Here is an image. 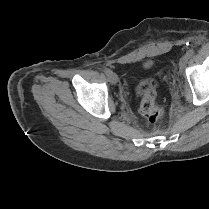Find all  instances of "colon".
<instances>
[{"label": "colon", "mask_w": 209, "mask_h": 209, "mask_svg": "<svg viewBox=\"0 0 209 209\" xmlns=\"http://www.w3.org/2000/svg\"><path fill=\"white\" fill-rule=\"evenodd\" d=\"M137 93L141 97L140 113L150 123L159 121L165 114V110L156 100L157 82L154 79L142 80L138 87Z\"/></svg>", "instance_id": "5ec220e1"}]
</instances>
